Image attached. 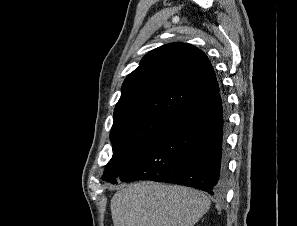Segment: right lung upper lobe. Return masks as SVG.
Returning a JSON list of instances; mask_svg holds the SVG:
<instances>
[{"instance_id":"cb5924a9","label":"right lung upper lobe","mask_w":297,"mask_h":226,"mask_svg":"<svg viewBox=\"0 0 297 226\" xmlns=\"http://www.w3.org/2000/svg\"><path fill=\"white\" fill-rule=\"evenodd\" d=\"M220 92L206 54L187 43H170L146 54L122 85L114 123L146 114L173 115L180 108Z\"/></svg>"}]
</instances>
